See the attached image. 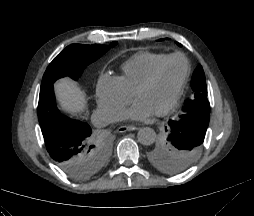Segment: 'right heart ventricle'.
<instances>
[{
	"mask_svg": "<svg viewBox=\"0 0 254 216\" xmlns=\"http://www.w3.org/2000/svg\"><path fill=\"white\" fill-rule=\"evenodd\" d=\"M167 54L141 51L121 65V75L117 77L122 86L131 94L147 78L153 67Z\"/></svg>",
	"mask_w": 254,
	"mask_h": 216,
	"instance_id": "obj_1",
	"label": "right heart ventricle"
}]
</instances>
